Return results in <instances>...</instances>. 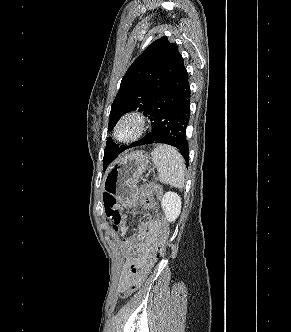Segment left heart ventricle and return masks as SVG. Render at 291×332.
I'll return each instance as SVG.
<instances>
[{
	"mask_svg": "<svg viewBox=\"0 0 291 332\" xmlns=\"http://www.w3.org/2000/svg\"><path fill=\"white\" fill-rule=\"evenodd\" d=\"M134 132H135V124L133 122H126L120 127L118 136L121 139H126L132 136Z\"/></svg>",
	"mask_w": 291,
	"mask_h": 332,
	"instance_id": "obj_1",
	"label": "left heart ventricle"
}]
</instances>
